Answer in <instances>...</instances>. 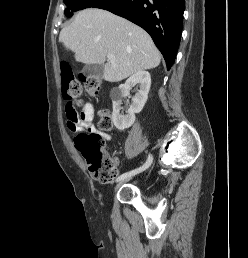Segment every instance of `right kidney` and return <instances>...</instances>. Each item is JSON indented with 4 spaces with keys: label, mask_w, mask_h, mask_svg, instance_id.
Returning <instances> with one entry per match:
<instances>
[{
    "label": "right kidney",
    "mask_w": 248,
    "mask_h": 258,
    "mask_svg": "<svg viewBox=\"0 0 248 258\" xmlns=\"http://www.w3.org/2000/svg\"><path fill=\"white\" fill-rule=\"evenodd\" d=\"M140 85V90L132 98V104L127 111L126 115H121L119 112L121 110V102L124 96L129 94V90L135 84ZM151 86L150 73L147 71H139L133 74L127 79L125 84L120 85L111 92V97L113 99V112L112 121L116 128L120 130L127 129L132 126L135 121V114L140 113L147 101L148 93Z\"/></svg>",
    "instance_id": "obj_1"
}]
</instances>
